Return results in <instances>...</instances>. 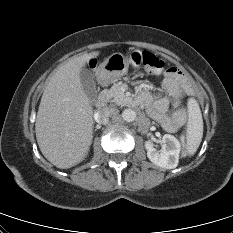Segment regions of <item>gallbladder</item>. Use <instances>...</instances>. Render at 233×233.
I'll use <instances>...</instances> for the list:
<instances>
[{"label":"gallbladder","mask_w":233,"mask_h":233,"mask_svg":"<svg viewBox=\"0 0 233 233\" xmlns=\"http://www.w3.org/2000/svg\"><path fill=\"white\" fill-rule=\"evenodd\" d=\"M81 84L84 92L90 99V102H95L97 99V89L94 76L87 68H82L80 72Z\"/></svg>","instance_id":"gallbladder-1"}]
</instances>
